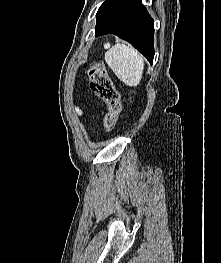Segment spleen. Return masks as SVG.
Here are the masks:
<instances>
[{
  "mask_svg": "<svg viewBox=\"0 0 221 263\" xmlns=\"http://www.w3.org/2000/svg\"><path fill=\"white\" fill-rule=\"evenodd\" d=\"M104 48L107 50L105 61L115 75L130 87L139 85L144 71L142 55L124 43H117L112 47L110 43H106Z\"/></svg>",
  "mask_w": 221,
  "mask_h": 263,
  "instance_id": "3e777b00",
  "label": "spleen"
}]
</instances>
